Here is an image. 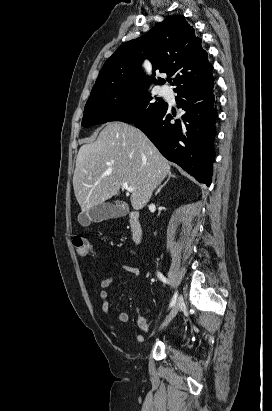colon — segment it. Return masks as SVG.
Masks as SVG:
<instances>
[{"instance_id": "colon-1", "label": "colon", "mask_w": 272, "mask_h": 411, "mask_svg": "<svg viewBox=\"0 0 272 411\" xmlns=\"http://www.w3.org/2000/svg\"><path fill=\"white\" fill-rule=\"evenodd\" d=\"M73 244L76 248V252L79 256H87L92 250L91 243L84 237L76 236L73 239Z\"/></svg>"}]
</instances>
